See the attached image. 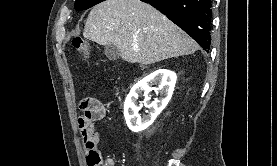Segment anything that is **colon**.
I'll return each instance as SVG.
<instances>
[{"label":"colon","mask_w":277,"mask_h":166,"mask_svg":"<svg viewBox=\"0 0 277 166\" xmlns=\"http://www.w3.org/2000/svg\"><path fill=\"white\" fill-rule=\"evenodd\" d=\"M73 46L75 49L82 55V57L89 59L91 56V49L89 43L82 38H75L73 40ZM91 115L87 112L86 116L81 118V132L84 138L88 139L91 143H93L96 132L93 129V125L91 124ZM90 166H113V160L109 157H103L99 152H94L89 159Z\"/></svg>","instance_id":"1"}]
</instances>
